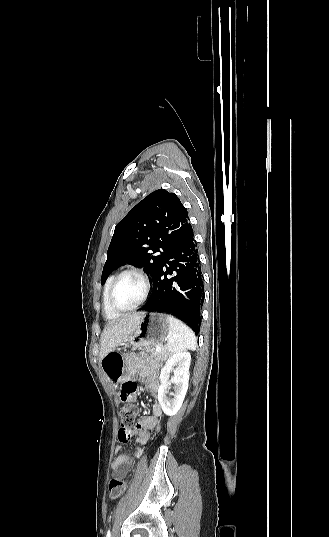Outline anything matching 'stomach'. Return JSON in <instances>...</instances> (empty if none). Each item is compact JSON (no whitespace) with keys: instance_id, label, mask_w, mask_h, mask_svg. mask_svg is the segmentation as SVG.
Listing matches in <instances>:
<instances>
[{"instance_id":"obj_1","label":"stomach","mask_w":329,"mask_h":537,"mask_svg":"<svg viewBox=\"0 0 329 537\" xmlns=\"http://www.w3.org/2000/svg\"><path fill=\"white\" fill-rule=\"evenodd\" d=\"M169 317L157 312L144 313L136 329L129 336L127 343L137 347L161 345L170 335ZM122 365V355L115 349L100 360V366L112 383L121 380L123 376Z\"/></svg>"}]
</instances>
